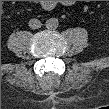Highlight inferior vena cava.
<instances>
[{"instance_id": "obj_1", "label": "inferior vena cava", "mask_w": 109, "mask_h": 109, "mask_svg": "<svg viewBox=\"0 0 109 109\" xmlns=\"http://www.w3.org/2000/svg\"><path fill=\"white\" fill-rule=\"evenodd\" d=\"M28 24L31 29H38L42 25L41 21L35 18L31 19Z\"/></svg>"}]
</instances>
